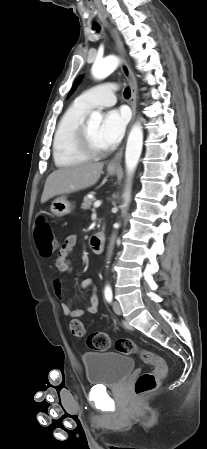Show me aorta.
Segmentation results:
<instances>
[{"label":"aorta","mask_w":207,"mask_h":449,"mask_svg":"<svg viewBox=\"0 0 207 449\" xmlns=\"http://www.w3.org/2000/svg\"><path fill=\"white\" fill-rule=\"evenodd\" d=\"M119 64V59L116 56H108L104 59L94 62L91 73L95 79L101 80L108 77L112 72L116 70ZM102 121V115L99 112H93L88 120L89 125H100ZM143 147V130L139 122H136L129 133L126 151H125V164L127 173L131 176L140 159ZM128 198V194L126 195Z\"/></svg>","instance_id":"obj_1"}]
</instances>
